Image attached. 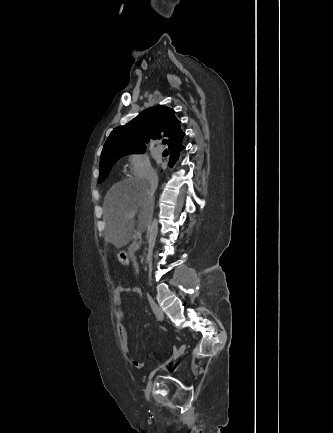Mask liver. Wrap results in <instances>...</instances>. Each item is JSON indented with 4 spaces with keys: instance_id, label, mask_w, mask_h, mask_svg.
<instances>
[{
    "instance_id": "1",
    "label": "liver",
    "mask_w": 333,
    "mask_h": 433,
    "mask_svg": "<svg viewBox=\"0 0 333 433\" xmlns=\"http://www.w3.org/2000/svg\"><path fill=\"white\" fill-rule=\"evenodd\" d=\"M154 199L150 195L148 180L129 178L114 184L103 201V229L105 241L115 248L126 246L132 239L136 221L127 220L130 213H138L137 230L145 229L153 210Z\"/></svg>"
}]
</instances>
